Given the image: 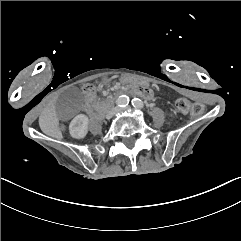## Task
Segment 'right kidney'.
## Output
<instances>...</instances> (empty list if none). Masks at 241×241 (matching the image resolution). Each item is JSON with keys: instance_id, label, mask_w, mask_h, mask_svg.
<instances>
[{"instance_id": "obj_1", "label": "right kidney", "mask_w": 241, "mask_h": 241, "mask_svg": "<svg viewBox=\"0 0 241 241\" xmlns=\"http://www.w3.org/2000/svg\"><path fill=\"white\" fill-rule=\"evenodd\" d=\"M69 132L73 138H84L88 132V117L84 114L77 115L69 125Z\"/></svg>"}]
</instances>
